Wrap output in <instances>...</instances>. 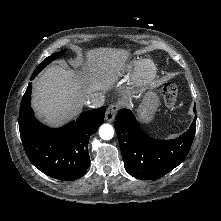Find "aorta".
Segmentation results:
<instances>
[{"label":"aorta","mask_w":221,"mask_h":221,"mask_svg":"<svg viewBox=\"0 0 221 221\" xmlns=\"http://www.w3.org/2000/svg\"><path fill=\"white\" fill-rule=\"evenodd\" d=\"M99 135L103 140H110L114 135V129L110 124H103L99 128Z\"/></svg>","instance_id":"obj_1"}]
</instances>
